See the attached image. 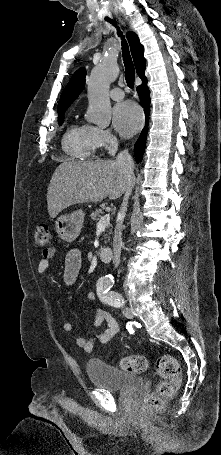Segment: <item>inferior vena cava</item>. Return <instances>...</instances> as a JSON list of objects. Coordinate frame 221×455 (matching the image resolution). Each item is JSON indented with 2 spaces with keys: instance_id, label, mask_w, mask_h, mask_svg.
Listing matches in <instances>:
<instances>
[{
  "instance_id": "obj_1",
  "label": "inferior vena cava",
  "mask_w": 221,
  "mask_h": 455,
  "mask_svg": "<svg viewBox=\"0 0 221 455\" xmlns=\"http://www.w3.org/2000/svg\"><path fill=\"white\" fill-rule=\"evenodd\" d=\"M116 162L126 171L129 180L123 198V202L120 206V210L118 213V221L114 231L113 264L115 267H117L118 264L120 263L121 248L123 246L122 223L127 211L128 199L134 186V162L128 150L121 151L117 156Z\"/></svg>"
}]
</instances>
